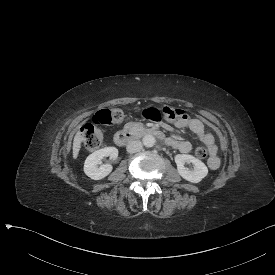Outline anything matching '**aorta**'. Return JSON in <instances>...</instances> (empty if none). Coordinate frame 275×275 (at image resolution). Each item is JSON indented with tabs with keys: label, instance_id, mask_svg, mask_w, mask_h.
Returning <instances> with one entry per match:
<instances>
[{
	"label": "aorta",
	"instance_id": "762f6f07",
	"mask_svg": "<svg viewBox=\"0 0 275 275\" xmlns=\"http://www.w3.org/2000/svg\"><path fill=\"white\" fill-rule=\"evenodd\" d=\"M143 145L146 147H152L154 146L156 140L153 135L147 134L142 139Z\"/></svg>",
	"mask_w": 275,
	"mask_h": 275
}]
</instances>
